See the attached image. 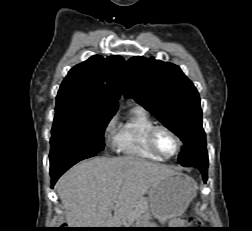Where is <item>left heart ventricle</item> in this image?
<instances>
[{"mask_svg":"<svg viewBox=\"0 0 252 231\" xmlns=\"http://www.w3.org/2000/svg\"><path fill=\"white\" fill-rule=\"evenodd\" d=\"M156 145L164 156L172 155L177 149L175 138L165 130H160L156 135Z\"/></svg>","mask_w":252,"mask_h":231,"instance_id":"left-heart-ventricle-1","label":"left heart ventricle"}]
</instances>
